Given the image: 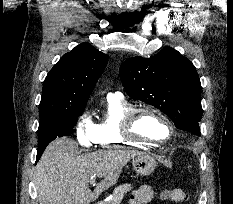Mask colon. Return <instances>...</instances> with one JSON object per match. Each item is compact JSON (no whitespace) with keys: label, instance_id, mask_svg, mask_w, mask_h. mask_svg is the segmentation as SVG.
<instances>
[{"label":"colon","instance_id":"obj_1","mask_svg":"<svg viewBox=\"0 0 233 204\" xmlns=\"http://www.w3.org/2000/svg\"><path fill=\"white\" fill-rule=\"evenodd\" d=\"M162 198L167 204L177 203L178 194L175 189H166L162 193Z\"/></svg>","mask_w":233,"mask_h":204}]
</instances>
